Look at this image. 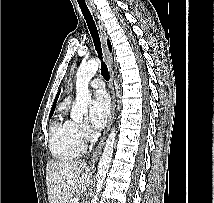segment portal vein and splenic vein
<instances>
[{"instance_id": "portal-vein-and-splenic-vein-1", "label": "portal vein and splenic vein", "mask_w": 214, "mask_h": 203, "mask_svg": "<svg viewBox=\"0 0 214 203\" xmlns=\"http://www.w3.org/2000/svg\"><path fill=\"white\" fill-rule=\"evenodd\" d=\"M69 183H72L71 181ZM72 203H79L78 201L73 200Z\"/></svg>"}]
</instances>
